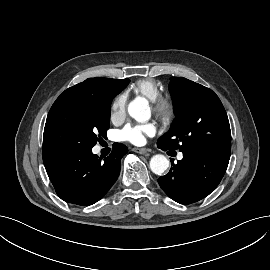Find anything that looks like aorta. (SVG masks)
<instances>
[{
	"mask_svg": "<svg viewBox=\"0 0 270 270\" xmlns=\"http://www.w3.org/2000/svg\"><path fill=\"white\" fill-rule=\"evenodd\" d=\"M129 115L138 122H146L150 118V108L145 98H136L128 105ZM169 167V160L161 154L154 155L150 160V169L154 174L161 175Z\"/></svg>",
	"mask_w": 270,
	"mask_h": 270,
	"instance_id": "aorta-1",
	"label": "aorta"
}]
</instances>
